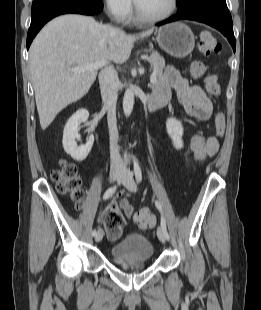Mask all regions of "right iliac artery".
Listing matches in <instances>:
<instances>
[{"label": "right iliac artery", "instance_id": "82829eb1", "mask_svg": "<svg viewBox=\"0 0 261 310\" xmlns=\"http://www.w3.org/2000/svg\"><path fill=\"white\" fill-rule=\"evenodd\" d=\"M116 189H117V186H113V187L107 189V191L103 195V199L106 200L109 197H111L115 193ZM96 234H97V231L94 229L92 231V236H95Z\"/></svg>", "mask_w": 261, "mask_h": 310}]
</instances>
